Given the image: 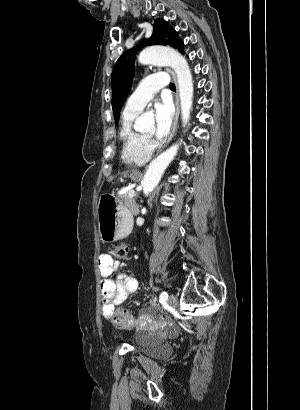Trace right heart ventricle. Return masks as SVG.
Listing matches in <instances>:
<instances>
[{
    "mask_svg": "<svg viewBox=\"0 0 300 410\" xmlns=\"http://www.w3.org/2000/svg\"><path fill=\"white\" fill-rule=\"evenodd\" d=\"M138 113L124 111L121 120L119 130L121 158L126 164H144L150 159L152 154V149L144 136L133 127V122Z\"/></svg>",
    "mask_w": 300,
    "mask_h": 410,
    "instance_id": "obj_1",
    "label": "right heart ventricle"
}]
</instances>
